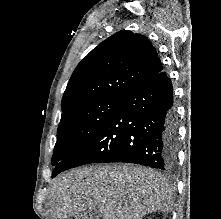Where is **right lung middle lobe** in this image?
Here are the masks:
<instances>
[{
    "instance_id": "1",
    "label": "right lung middle lobe",
    "mask_w": 221,
    "mask_h": 219,
    "mask_svg": "<svg viewBox=\"0 0 221 219\" xmlns=\"http://www.w3.org/2000/svg\"><path fill=\"white\" fill-rule=\"evenodd\" d=\"M121 98H101L77 104L61 116L52 165L78 151L103 126Z\"/></svg>"
}]
</instances>
